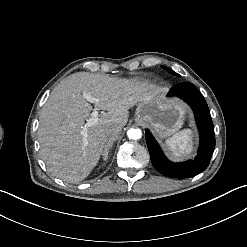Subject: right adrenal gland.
I'll use <instances>...</instances> for the list:
<instances>
[{
  "instance_id": "right-adrenal-gland-1",
  "label": "right adrenal gland",
  "mask_w": 247,
  "mask_h": 247,
  "mask_svg": "<svg viewBox=\"0 0 247 247\" xmlns=\"http://www.w3.org/2000/svg\"><path fill=\"white\" fill-rule=\"evenodd\" d=\"M112 146H113V141H109L102 150L101 155L103 156L104 161L108 159L109 150Z\"/></svg>"
}]
</instances>
